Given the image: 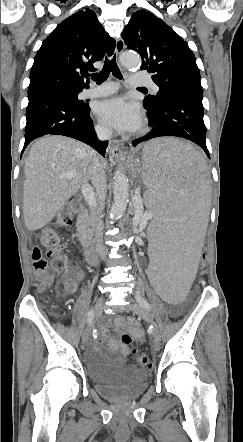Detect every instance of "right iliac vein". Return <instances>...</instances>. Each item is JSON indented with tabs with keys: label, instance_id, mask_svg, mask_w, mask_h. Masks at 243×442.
I'll use <instances>...</instances> for the list:
<instances>
[{
	"label": "right iliac vein",
	"instance_id": "obj_1",
	"mask_svg": "<svg viewBox=\"0 0 243 442\" xmlns=\"http://www.w3.org/2000/svg\"><path fill=\"white\" fill-rule=\"evenodd\" d=\"M104 302H105V297L104 296H100L94 306V311H93V317L92 320L89 321V323L87 324L83 335H82V341L83 343H86L89 340V337L91 335L92 329L94 327L95 321L96 319L100 316L101 311L103 309L104 306Z\"/></svg>",
	"mask_w": 243,
	"mask_h": 442
}]
</instances>
